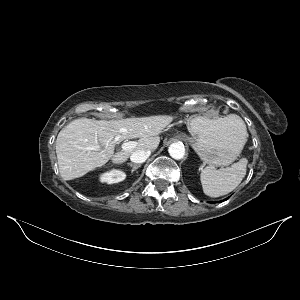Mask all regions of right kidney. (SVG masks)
<instances>
[{"mask_svg":"<svg viewBox=\"0 0 300 300\" xmlns=\"http://www.w3.org/2000/svg\"><path fill=\"white\" fill-rule=\"evenodd\" d=\"M126 174L120 170H111L109 172H105L100 176L101 182H106L108 184L118 183L125 179Z\"/></svg>","mask_w":300,"mask_h":300,"instance_id":"obj_1","label":"right kidney"}]
</instances>
